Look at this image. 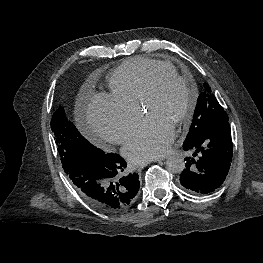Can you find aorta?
Listing matches in <instances>:
<instances>
[{
	"instance_id": "obj_1",
	"label": "aorta",
	"mask_w": 263,
	"mask_h": 263,
	"mask_svg": "<svg viewBox=\"0 0 263 263\" xmlns=\"http://www.w3.org/2000/svg\"><path fill=\"white\" fill-rule=\"evenodd\" d=\"M166 166L169 172L181 173L185 168V161L179 156H170L167 158Z\"/></svg>"
}]
</instances>
